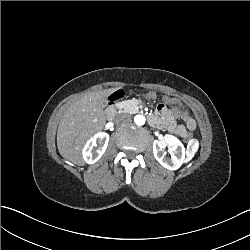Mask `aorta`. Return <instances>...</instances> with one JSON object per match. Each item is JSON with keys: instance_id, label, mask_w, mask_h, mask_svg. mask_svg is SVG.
<instances>
[{"instance_id": "aorta-1", "label": "aorta", "mask_w": 250, "mask_h": 250, "mask_svg": "<svg viewBox=\"0 0 250 250\" xmlns=\"http://www.w3.org/2000/svg\"><path fill=\"white\" fill-rule=\"evenodd\" d=\"M145 121H146V118H145L144 115L139 114V115H136L134 117V122H135L136 125L142 126V125L145 124Z\"/></svg>"}]
</instances>
